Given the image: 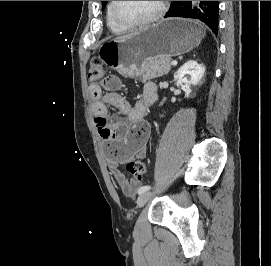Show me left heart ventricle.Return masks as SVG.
<instances>
[{"mask_svg": "<svg viewBox=\"0 0 271 266\" xmlns=\"http://www.w3.org/2000/svg\"><path fill=\"white\" fill-rule=\"evenodd\" d=\"M159 1H118L117 12L127 21H142L158 9Z\"/></svg>", "mask_w": 271, "mask_h": 266, "instance_id": "1", "label": "left heart ventricle"}]
</instances>
